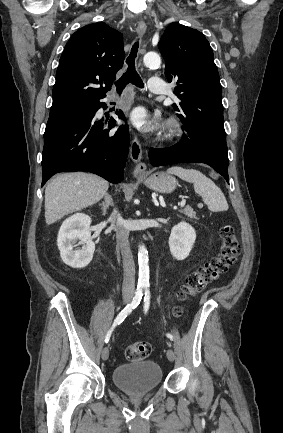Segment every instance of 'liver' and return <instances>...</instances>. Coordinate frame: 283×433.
<instances>
[{"instance_id": "6515ba94", "label": "liver", "mask_w": 283, "mask_h": 433, "mask_svg": "<svg viewBox=\"0 0 283 433\" xmlns=\"http://www.w3.org/2000/svg\"><path fill=\"white\" fill-rule=\"evenodd\" d=\"M109 182L87 172L57 174L45 188V221L56 223L75 210L91 206L103 198Z\"/></svg>"}]
</instances>
